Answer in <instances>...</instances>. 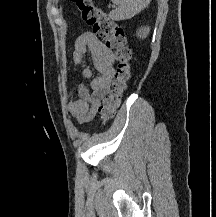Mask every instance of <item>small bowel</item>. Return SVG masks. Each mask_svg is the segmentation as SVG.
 Listing matches in <instances>:
<instances>
[{
  "mask_svg": "<svg viewBox=\"0 0 216 217\" xmlns=\"http://www.w3.org/2000/svg\"><path fill=\"white\" fill-rule=\"evenodd\" d=\"M73 61L81 68V77L89 84L77 85V99L67 96L68 110L78 124L92 121L114 79L115 57L112 50L92 32L81 34L75 41ZM93 69L97 71L93 75Z\"/></svg>",
  "mask_w": 216,
  "mask_h": 217,
  "instance_id": "c3829d8e",
  "label": "small bowel"
}]
</instances>
